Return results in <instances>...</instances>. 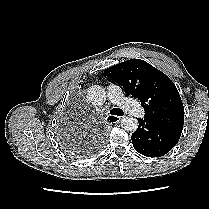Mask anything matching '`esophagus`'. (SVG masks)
<instances>
[{"instance_id":"34e87169","label":"esophagus","mask_w":209,"mask_h":209,"mask_svg":"<svg viewBox=\"0 0 209 209\" xmlns=\"http://www.w3.org/2000/svg\"><path fill=\"white\" fill-rule=\"evenodd\" d=\"M122 119V117H119V116H115V115H109L107 118H106V122L107 123H118L120 120Z\"/></svg>"}]
</instances>
